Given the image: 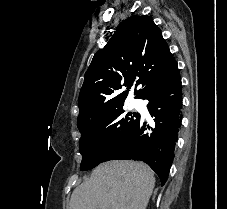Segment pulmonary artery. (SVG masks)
Listing matches in <instances>:
<instances>
[{
    "instance_id": "1",
    "label": "pulmonary artery",
    "mask_w": 227,
    "mask_h": 209,
    "mask_svg": "<svg viewBox=\"0 0 227 209\" xmlns=\"http://www.w3.org/2000/svg\"><path fill=\"white\" fill-rule=\"evenodd\" d=\"M140 101V98H137V101H133L134 104H137Z\"/></svg>"
}]
</instances>
